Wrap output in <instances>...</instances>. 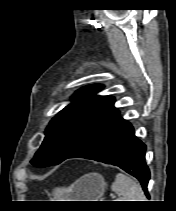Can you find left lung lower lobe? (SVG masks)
<instances>
[{"mask_svg": "<svg viewBox=\"0 0 176 211\" xmlns=\"http://www.w3.org/2000/svg\"><path fill=\"white\" fill-rule=\"evenodd\" d=\"M145 150V144L135 136L132 125L118 114L69 158H86L118 166L136 177L149 197L150 172L145 163Z\"/></svg>", "mask_w": 176, "mask_h": 211, "instance_id": "1", "label": "left lung lower lobe"}]
</instances>
